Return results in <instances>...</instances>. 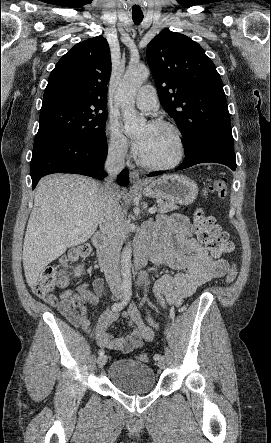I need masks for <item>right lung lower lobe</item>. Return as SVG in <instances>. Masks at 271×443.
<instances>
[{"label": "right lung lower lobe", "instance_id": "obj_1", "mask_svg": "<svg viewBox=\"0 0 271 443\" xmlns=\"http://www.w3.org/2000/svg\"><path fill=\"white\" fill-rule=\"evenodd\" d=\"M106 136L85 142L66 137H48L36 143L30 164L32 188L38 181L52 173H76L103 179L100 170L107 156ZM120 185L129 184V172L124 169L118 176Z\"/></svg>", "mask_w": 271, "mask_h": 443}]
</instances>
